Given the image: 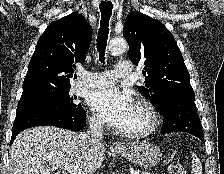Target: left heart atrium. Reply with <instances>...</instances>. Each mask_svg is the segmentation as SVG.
<instances>
[{"instance_id": "left-heart-atrium-1", "label": "left heart atrium", "mask_w": 224, "mask_h": 174, "mask_svg": "<svg viewBox=\"0 0 224 174\" xmlns=\"http://www.w3.org/2000/svg\"><path fill=\"white\" fill-rule=\"evenodd\" d=\"M88 103L105 122L120 130L126 125L135 107L131 96L116 88L92 92Z\"/></svg>"}]
</instances>
